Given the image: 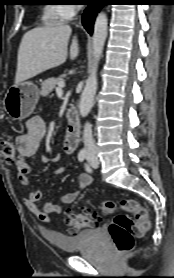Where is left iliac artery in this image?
<instances>
[{
    "label": "left iliac artery",
    "mask_w": 174,
    "mask_h": 278,
    "mask_svg": "<svg viewBox=\"0 0 174 278\" xmlns=\"http://www.w3.org/2000/svg\"><path fill=\"white\" fill-rule=\"evenodd\" d=\"M85 168H86V171H88V172L91 171L88 165H86Z\"/></svg>",
    "instance_id": "obj_1"
}]
</instances>
